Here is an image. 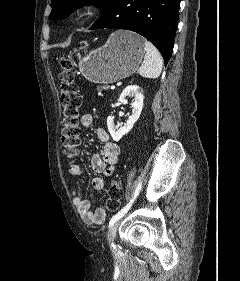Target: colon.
<instances>
[{
  "instance_id": "obj_1",
  "label": "colon",
  "mask_w": 240,
  "mask_h": 281,
  "mask_svg": "<svg viewBox=\"0 0 240 281\" xmlns=\"http://www.w3.org/2000/svg\"><path fill=\"white\" fill-rule=\"evenodd\" d=\"M87 45L81 43L78 51L86 50ZM60 100L63 109L62 120V146L63 153L67 157H75L78 154L79 135L81 132L79 126L80 108L82 105V97L79 88L75 82L74 62L72 57L68 56L60 61ZM123 190L118 180L110 183L108 190L107 209L110 212L116 211L121 203Z\"/></svg>"
}]
</instances>
